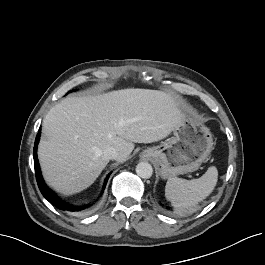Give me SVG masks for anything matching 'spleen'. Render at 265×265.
I'll return each mask as SVG.
<instances>
[{
  "label": "spleen",
  "instance_id": "spleen-1",
  "mask_svg": "<svg viewBox=\"0 0 265 265\" xmlns=\"http://www.w3.org/2000/svg\"><path fill=\"white\" fill-rule=\"evenodd\" d=\"M217 180L218 171L215 166L209 167L198 179L170 177L165 186V197L174 207H191L211 194Z\"/></svg>",
  "mask_w": 265,
  "mask_h": 265
}]
</instances>
